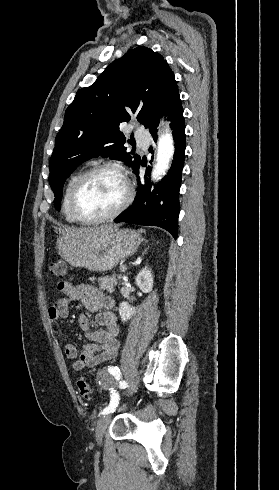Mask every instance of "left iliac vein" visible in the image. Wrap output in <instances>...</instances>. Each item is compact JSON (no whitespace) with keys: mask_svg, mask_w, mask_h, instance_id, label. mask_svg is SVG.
Returning a JSON list of instances; mask_svg holds the SVG:
<instances>
[{"mask_svg":"<svg viewBox=\"0 0 279 490\" xmlns=\"http://www.w3.org/2000/svg\"><path fill=\"white\" fill-rule=\"evenodd\" d=\"M111 418H112L111 414H105L97 422L95 438L99 444L102 443L105 431H106L107 427L109 426Z\"/></svg>","mask_w":279,"mask_h":490,"instance_id":"left-iliac-vein-1","label":"left iliac vein"}]
</instances>
